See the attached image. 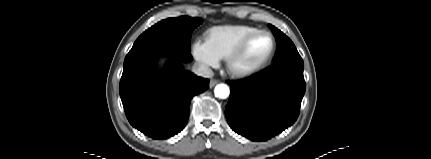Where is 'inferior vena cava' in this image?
Masks as SVG:
<instances>
[{"label": "inferior vena cava", "instance_id": "1", "mask_svg": "<svg viewBox=\"0 0 431 159\" xmlns=\"http://www.w3.org/2000/svg\"><path fill=\"white\" fill-rule=\"evenodd\" d=\"M192 71L196 75L204 77V78H211L214 75L211 68H209L205 64H201V63H195L192 67Z\"/></svg>", "mask_w": 431, "mask_h": 159}]
</instances>
